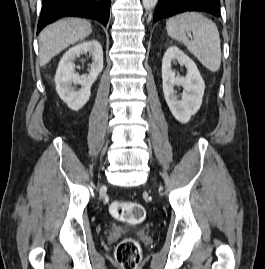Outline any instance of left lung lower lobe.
Instances as JSON below:
<instances>
[{"instance_id": "left-lung-lower-lobe-1", "label": "left lung lower lobe", "mask_w": 265, "mask_h": 269, "mask_svg": "<svg viewBox=\"0 0 265 269\" xmlns=\"http://www.w3.org/2000/svg\"><path fill=\"white\" fill-rule=\"evenodd\" d=\"M186 11H203L220 16V0H159L153 21Z\"/></svg>"}]
</instances>
